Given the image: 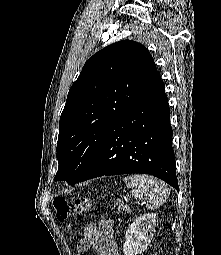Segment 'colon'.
<instances>
[{
	"instance_id": "5ec220e1",
	"label": "colon",
	"mask_w": 221,
	"mask_h": 255,
	"mask_svg": "<svg viewBox=\"0 0 221 255\" xmlns=\"http://www.w3.org/2000/svg\"><path fill=\"white\" fill-rule=\"evenodd\" d=\"M53 206L57 219L63 222L71 215H79L88 210L91 206V201L82 197L69 202L63 197H56L53 201Z\"/></svg>"
}]
</instances>
